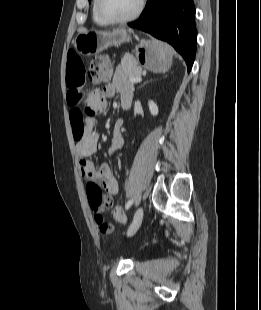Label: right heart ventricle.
<instances>
[{
  "mask_svg": "<svg viewBox=\"0 0 261 310\" xmlns=\"http://www.w3.org/2000/svg\"><path fill=\"white\" fill-rule=\"evenodd\" d=\"M92 17H93V21L99 25V26H107L108 23H106L105 21H103L97 14L96 9H95V0H93V4H92Z\"/></svg>",
  "mask_w": 261,
  "mask_h": 310,
  "instance_id": "e07e8e85",
  "label": "right heart ventricle"
}]
</instances>
